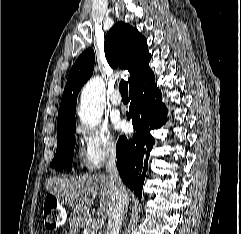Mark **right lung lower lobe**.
<instances>
[{"label":"right lung lower lobe","instance_id":"98d812e1","mask_svg":"<svg viewBox=\"0 0 241 234\" xmlns=\"http://www.w3.org/2000/svg\"><path fill=\"white\" fill-rule=\"evenodd\" d=\"M129 98L127 118L132 120L136 133L130 139L124 136L119 138L116 146L117 167L124 183L140 200L148 158L155 143L150 131L166 122L167 108L160 102L162 94L155 85L153 72L129 88Z\"/></svg>","mask_w":241,"mask_h":234}]
</instances>
